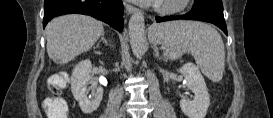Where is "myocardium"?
<instances>
[{
  "label": "myocardium",
  "mask_w": 273,
  "mask_h": 118,
  "mask_svg": "<svg viewBox=\"0 0 273 118\" xmlns=\"http://www.w3.org/2000/svg\"><path fill=\"white\" fill-rule=\"evenodd\" d=\"M189 0H164L156 4L155 9L161 14H172L185 8Z\"/></svg>",
  "instance_id": "f54148a6"
}]
</instances>
